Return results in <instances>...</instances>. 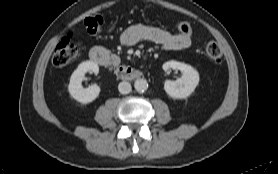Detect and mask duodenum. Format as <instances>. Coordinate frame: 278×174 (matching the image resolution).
Masks as SVG:
<instances>
[{
    "label": "duodenum",
    "mask_w": 278,
    "mask_h": 174,
    "mask_svg": "<svg viewBox=\"0 0 278 174\" xmlns=\"http://www.w3.org/2000/svg\"><path fill=\"white\" fill-rule=\"evenodd\" d=\"M90 59L99 65L107 66L110 58L108 53L101 47H93L90 50ZM116 75L123 80L138 79L142 76V71L129 66H118L116 68Z\"/></svg>",
    "instance_id": "410a0bca"
}]
</instances>
